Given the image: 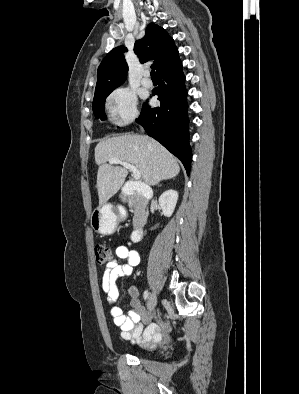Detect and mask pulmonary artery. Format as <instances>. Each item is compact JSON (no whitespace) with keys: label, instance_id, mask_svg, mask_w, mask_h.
<instances>
[{"label":"pulmonary artery","instance_id":"e3ab8cb5","mask_svg":"<svg viewBox=\"0 0 299 394\" xmlns=\"http://www.w3.org/2000/svg\"><path fill=\"white\" fill-rule=\"evenodd\" d=\"M142 85L144 87H147V88L152 87L153 83H152V80L149 77V73H146L145 77L142 79Z\"/></svg>","mask_w":299,"mask_h":394}]
</instances>
